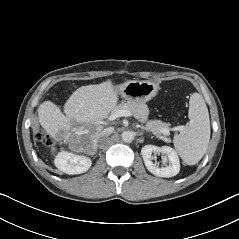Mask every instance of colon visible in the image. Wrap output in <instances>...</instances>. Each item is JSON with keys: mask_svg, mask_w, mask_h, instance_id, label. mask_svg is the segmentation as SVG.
I'll list each match as a JSON object with an SVG mask.
<instances>
[{"mask_svg": "<svg viewBox=\"0 0 239 239\" xmlns=\"http://www.w3.org/2000/svg\"><path fill=\"white\" fill-rule=\"evenodd\" d=\"M36 138L41 141L42 143H44L45 145H52L53 144V140L51 139L50 136H48L44 131L39 130L36 134Z\"/></svg>", "mask_w": 239, "mask_h": 239, "instance_id": "obj_1", "label": "colon"}]
</instances>
